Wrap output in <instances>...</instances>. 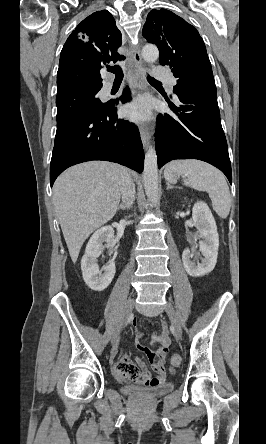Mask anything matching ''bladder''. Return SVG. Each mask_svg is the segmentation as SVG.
Here are the masks:
<instances>
[{
    "instance_id": "31cf9c89",
    "label": "bladder",
    "mask_w": 266,
    "mask_h": 444,
    "mask_svg": "<svg viewBox=\"0 0 266 444\" xmlns=\"http://www.w3.org/2000/svg\"><path fill=\"white\" fill-rule=\"evenodd\" d=\"M174 386L172 383H164L158 386L142 387L136 385H127L123 391L126 395L137 399L151 400L159 396L170 393Z\"/></svg>"
}]
</instances>
